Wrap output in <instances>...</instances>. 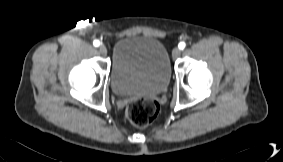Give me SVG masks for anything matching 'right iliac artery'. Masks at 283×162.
Wrapping results in <instances>:
<instances>
[{
  "mask_svg": "<svg viewBox=\"0 0 283 162\" xmlns=\"http://www.w3.org/2000/svg\"><path fill=\"white\" fill-rule=\"evenodd\" d=\"M93 45H94L95 47H98V46L100 45V42H99L98 40H95V41L93 42Z\"/></svg>",
  "mask_w": 283,
  "mask_h": 162,
  "instance_id": "1",
  "label": "right iliac artery"
}]
</instances>
